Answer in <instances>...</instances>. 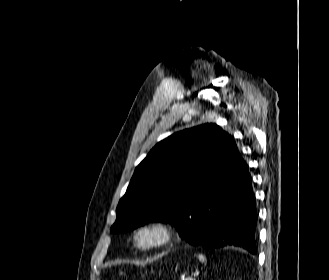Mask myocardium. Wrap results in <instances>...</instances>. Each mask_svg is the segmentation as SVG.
Instances as JSON below:
<instances>
[{
  "label": "myocardium",
  "instance_id": "obj_1",
  "mask_svg": "<svg viewBox=\"0 0 329 280\" xmlns=\"http://www.w3.org/2000/svg\"><path fill=\"white\" fill-rule=\"evenodd\" d=\"M143 233H152L153 240L148 243H141L139 238ZM173 238V229L165 221L150 220L137 225L131 234L133 247L142 252L154 251L168 246Z\"/></svg>",
  "mask_w": 329,
  "mask_h": 280
}]
</instances>
